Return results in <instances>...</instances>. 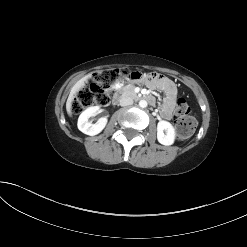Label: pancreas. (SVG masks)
I'll return each mask as SVG.
<instances>
[{
    "mask_svg": "<svg viewBox=\"0 0 247 247\" xmlns=\"http://www.w3.org/2000/svg\"><path fill=\"white\" fill-rule=\"evenodd\" d=\"M124 90L132 92V88L131 87H125Z\"/></svg>",
    "mask_w": 247,
    "mask_h": 247,
    "instance_id": "obj_1",
    "label": "pancreas"
}]
</instances>
